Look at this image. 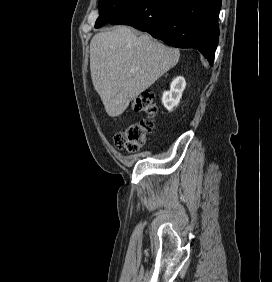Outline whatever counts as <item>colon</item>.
<instances>
[{"mask_svg": "<svg viewBox=\"0 0 272 282\" xmlns=\"http://www.w3.org/2000/svg\"><path fill=\"white\" fill-rule=\"evenodd\" d=\"M132 109L135 112L154 115L157 110L154 94L147 92L135 98L132 102ZM153 129L152 118L134 121L115 134L114 146L128 153L138 152Z\"/></svg>", "mask_w": 272, "mask_h": 282, "instance_id": "5ec220e1", "label": "colon"}]
</instances>
